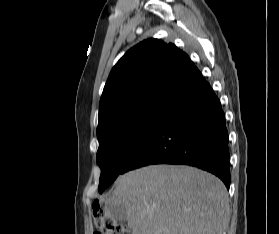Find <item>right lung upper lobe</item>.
Masks as SVG:
<instances>
[{"label": "right lung upper lobe", "mask_w": 279, "mask_h": 234, "mask_svg": "<svg viewBox=\"0 0 279 234\" xmlns=\"http://www.w3.org/2000/svg\"><path fill=\"white\" fill-rule=\"evenodd\" d=\"M200 75L188 55L174 44L142 41L112 68L100 99L98 127L124 112L168 107Z\"/></svg>", "instance_id": "1"}]
</instances>
